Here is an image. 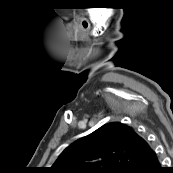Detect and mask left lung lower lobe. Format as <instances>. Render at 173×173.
Instances as JSON below:
<instances>
[{"label":"left lung lower lobe","mask_w":173,"mask_h":173,"mask_svg":"<svg viewBox=\"0 0 173 173\" xmlns=\"http://www.w3.org/2000/svg\"><path fill=\"white\" fill-rule=\"evenodd\" d=\"M135 173H164V168L161 167L159 159L153 149Z\"/></svg>","instance_id":"1"}]
</instances>
